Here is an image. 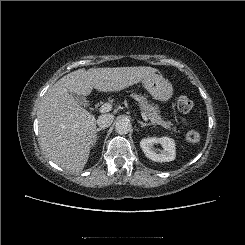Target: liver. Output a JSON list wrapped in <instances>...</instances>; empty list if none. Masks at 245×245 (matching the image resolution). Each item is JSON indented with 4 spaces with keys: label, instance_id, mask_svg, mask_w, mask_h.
<instances>
[{
    "label": "liver",
    "instance_id": "1",
    "mask_svg": "<svg viewBox=\"0 0 245 245\" xmlns=\"http://www.w3.org/2000/svg\"><path fill=\"white\" fill-rule=\"evenodd\" d=\"M147 66L78 69L50 87L42 99L39 114V142L42 150L67 171L85 167L96 131V118L71 96L117 92L154 75Z\"/></svg>",
    "mask_w": 245,
    "mask_h": 245
}]
</instances>
